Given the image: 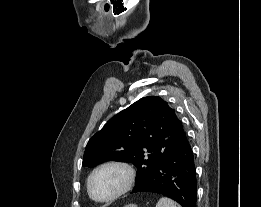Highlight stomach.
Listing matches in <instances>:
<instances>
[{
  "instance_id": "stomach-1",
  "label": "stomach",
  "mask_w": 261,
  "mask_h": 207,
  "mask_svg": "<svg viewBox=\"0 0 261 207\" xmlns=\"http://www.w3.org/2000/svg\"><path fill=\"white\" fill-rule=\"evenodd\" d=\"M124 207H138V206H136L135 204H129V205L124 206Z\"/></svg>"
}]
</instances>
